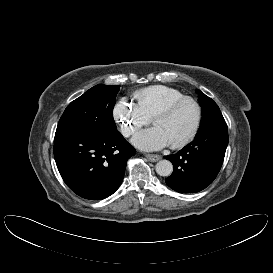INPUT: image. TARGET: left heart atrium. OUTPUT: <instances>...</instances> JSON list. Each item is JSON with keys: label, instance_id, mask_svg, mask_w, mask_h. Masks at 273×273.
<instances>
[{"label": "left heart atrium", "instance_id": "1", "mask_svg": "<svg viewBox=\"0 0 273 273\" xmlns=\"http://www.w3.org/2000/svg\"><path fill=\"white\" fill-rule=\"evenodd\" d=\"M132 143L134 146L144 151H153L169 145L165 136L156 127L136 133L132 138Z\"/></svg>", "mask_w": 273, "mask_h": 273}]
</instances>
